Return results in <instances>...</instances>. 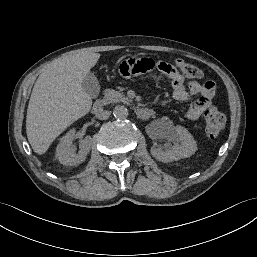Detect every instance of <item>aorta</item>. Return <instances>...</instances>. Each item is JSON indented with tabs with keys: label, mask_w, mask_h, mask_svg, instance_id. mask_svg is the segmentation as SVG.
<instances>
[{
	"label": "aorta",
	"mask_w": 257,
	"mask_h": 257,
	"mask_svg": "<svg viewBox=\"0 0 257 257\" xmlns=\"http://www.w3.org/2000/svg\"><path fill=\"white\" fill-rule=\"evenodd\" d=\"M113 114L118 119H126L129 115V112L125 106L118 105L114 108Z\"/></svg>",
	"instance_id": "762f6f07"
}]
</instances>
